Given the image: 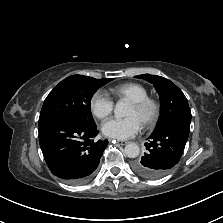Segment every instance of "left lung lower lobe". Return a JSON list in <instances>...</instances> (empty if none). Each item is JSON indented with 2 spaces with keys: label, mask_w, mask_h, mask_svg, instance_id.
<instances>
[{
  "label": "left lung lower lobe",
  "mask_w": 223,
  "mask_h": 223,
  "mask_svg": "<svg viewBox=\"0 0 223 223\" xmlns=\"http://www.w3.org/2000/svg\"><path fill=\"white\" fill-rule=\"evenodd\" d=\"M190 128L171 124L153 132L144 145L146 153L132 168L141 177L158 179L166 175L180 160Z\"/></svg>",
  "instance_id": "obj_1"
}]
</instances>
